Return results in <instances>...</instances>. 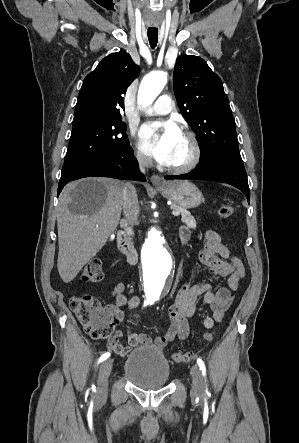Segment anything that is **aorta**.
I'll list each match as a JSON object with an SVG mask.
<instances>
[{"mask_svg": "<svg viewBox=\"0 0 299 443\" xmlns=\"http://www.w3.org/2000/svg\"><path fill=\"white\" fill-rule=\"evenodd\" d=\"M167 83V73L156 71L145 76L139 86L138 104L146 107L153 103ZM142 273L147 300L163 297L168 288L169 275L173 267V256L163 232L156 227L147 231L142 249Z\"/></svg>", "mask_w": 299, "mask_h": 443, "instance_id": "1", "label": "aorta"}]
</instances>
